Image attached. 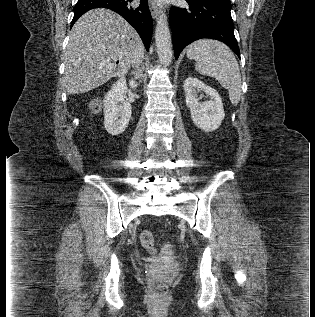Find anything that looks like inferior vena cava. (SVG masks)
<instances>
[{"label": "inferior vena cava", "instance_id": "602c4592", "mask_svg": "<svg viewBox=\"0 0 315 317\" xmlns=\"http://www.w3.org/2000/svg\"><path fill=\"white\" fill-rule=\"evenodd\" d=\"M142 60H143V55L138 54L135 56L134 60H133V65L135 66V68H139V66L142 64Z\"/></svg>", "mask_w": 315, "mask_h": 317}]
</instances>
